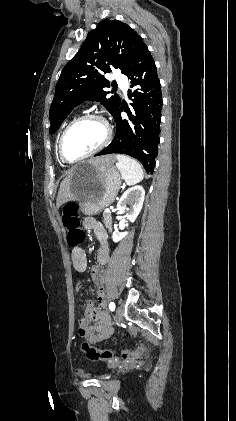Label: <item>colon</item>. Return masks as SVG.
I'll return each mask as SVG.
<instances>
[{"label": "colon", "instance_id": "obj_1", "mask_svg": "<svg viewBox=\"0 0 236 421\" xmlns=\"http://www.w3.org/2000/svg\"><path fill=\"white\" fill-rule=\"evenodd\" d=\"M62 224L67 230V243L71 248H78L84 241V232L80 229L79 208L74 202H68L63 206L61 214ZM78 256V251L75 253ZM81 349L88 359L92 361H107L113 358V351L91 346L84 342ZM147 347L144 344H137L134 349L122 350L121 356L124 359H136L144 355Z\"/></svg>", "mask_w": 236, "mask_h": 421}]
</instances>
